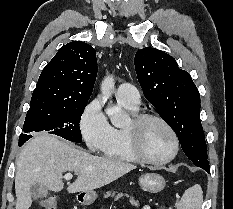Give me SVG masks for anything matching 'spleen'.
Masks as SVG:
<instances>
[{
  "label": "spleen",
  "mask_w": 233,
  "mask_h": 209,
  "mask_svg": "<svg viewBox=\"0 0 233 209\" xmlns=\"http://www.w3.org/2000/svg\"><path fill=\"white\" fill-rule=\"evenodd\" d=\"M202 202V188L199 184H195L184 192L178 204V209H201Z\"/></svg>",
  "instance_id": "1"
}]
</instances>
